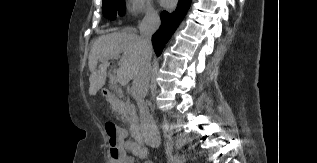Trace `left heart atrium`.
<instances>
[{
  "mask_svg": "<svg viewBox=\"0 0 317 163\" xmlns=\"http://www.w3.org/2000/svg\"><path fill=\"white\" fill-rule=\"evenodd\" d=\"M175 0H161V3L164 5V6H169L171 5L172 3H174Z\"/></svg>",
  "mask_w": 317,
  "mask_h": 163,
  "instance_id": "obj_1",
  "label": "left heart atrium"
}]
</instances>
